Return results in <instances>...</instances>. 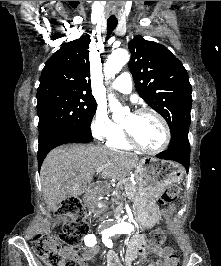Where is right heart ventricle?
Segmentation results:
<instances>
[{"mask_svg": "<svg viewBox=\"0 0 221 266\" xmlns=\"http://www.w3.org/2000/svg\"><path fill=\"white\" fill-rule=\"evenodd\" d=\"M106 145L109 148H112L115 150H130V149H132V146H130L129 143L126 141L122 129H120V131L115 136L108 139L106 141Z\"/></svg>", "mask_w": 221, "mask_h": 266, "instance_id": "e07e8e85", "label": "right heart ventricle"}]
</instances>
